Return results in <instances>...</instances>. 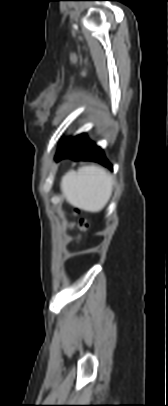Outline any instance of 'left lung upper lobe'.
I'll return each instance as SVG.
<instances>
[{
    "mask_svg": "<svg viewBox=\"0 0 168 406\" xmlns=\"http://www.w3.org/2000/svg\"><path fill=\"white\" fill-rule=\"evenodd\" d=\"M69 141H71V140H67V141H65V142L63 143V145H64V144H66V143H68Z\"/></svg>",
    "mask_w": 168,
    "mask_h": 406,
    "instance_id": "obj_1",
    "label": "left lung upper lobe"
}]
</instances>
